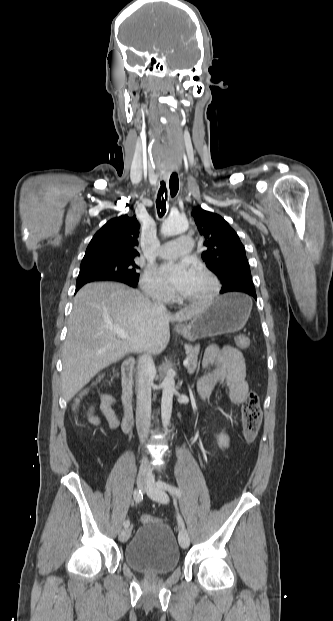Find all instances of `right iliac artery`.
I'll return each mask as SVG.
<instances>
[{
    "instance_id": "82829eb1",
    "label": "right iliac artery",
    "mask_w": 333,
    "mask_h": 621,
    "mask_svg": "<svg viewBox=\"0 0 333 621\" xmlns=\"http://www.w3.org/2000/svg\"><path fill=\"white\" fill-rule=\"evenodd\" d=\"M142 499H143V493L141 492V490L136 489L134 491V500H135V502L139 503V502L142 501ZM123 525H124L125 528L129 527L130 521L129 520L124 521Z\"/></svg>"
}]
</instances>
